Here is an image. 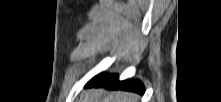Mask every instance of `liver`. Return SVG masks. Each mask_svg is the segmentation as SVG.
Returning <instances> with one entry per match:
<instances>
[{
  "mask_svg": "<svg viewBox=\"0 0 221 102\" xmlns=\"http://www.w3.org/2000/svg\"><path fill=\"white\" fill-rule=\"evenodd\" d=\"M91 98L89 102H95L94 100H103L101 102H137L138 97L137 95L130 94V93H123L120 91L111 92L106 95L104 99H100L103 92L100 89L91 90L90 91ZM97 102V101H96Z\"/></svg>",
  "mask_w": 221,
  "mask_h": 102,
  "instance_id": "liver-1",
  "label": "liver"
}]
</instances>
